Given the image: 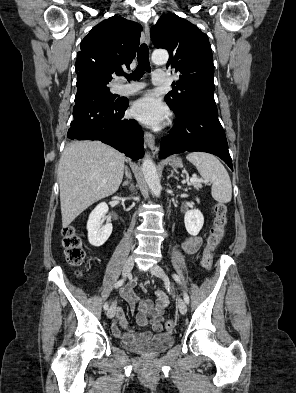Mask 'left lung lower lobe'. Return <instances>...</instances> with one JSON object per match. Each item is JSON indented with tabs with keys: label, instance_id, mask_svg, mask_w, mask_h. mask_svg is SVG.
Segmentation results:
<instances>
[{
	"label": "left lung lower lobe",
	"instance_id": "1",
	"mask_svg": "<svg viewBox=\"0 0 296 393\" xmlns=\"http://www.w3.org/2000/svg\"><path fill=\"white\" fill-rule=\"evenodd\" d=\"M175 122L171 133L161 139V159L185 151L208 152L220 157L233 170L216 105L195 104Z\"/></svg>",
	"mask_w": 296,
	"mask_h": 393
}]
</instances>
